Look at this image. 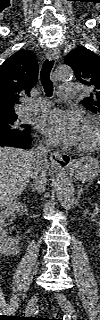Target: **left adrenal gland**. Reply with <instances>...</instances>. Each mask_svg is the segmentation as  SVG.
I'll return each instance as SVG.
<instances>
[{
	"instance_id": "left-adrenal-gland-1",
	"label": "left adrenal gland",
	"mask_w": 100,
	"mask_h": 320,
	"mask_svg": "<svg viewBox=\"0 0 100 320\" xmlns=\"http://www.w3.org/2000/svg\"><path fill=\"white\" fill-rule=\"evenodd\" d=\"M84 190H87V187L83 188V186L80 184V185L78 186V192H77L78 198L81 197V194L83 193Z\"/></svg>"
}]
</instances>
